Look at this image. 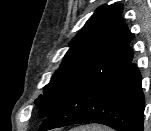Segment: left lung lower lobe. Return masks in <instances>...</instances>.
<instances>
[{"instance_id": "1", "label": "left lung lower lobe", "mask_w": 151, "mask_h": 131, "mask_svg": "<svg viewBox=\"0 0 151 131\" xmlns=\"http://www.w3.org/2000/svg\"><path fill=\"white\" fill-rule=\"evenodd\" d=\"M131 61L110 69L88 70L38 131L87 122L104 124L117 131H143L145 99L141 75Z\"/></svg>"}]
</instances>
